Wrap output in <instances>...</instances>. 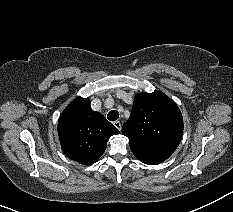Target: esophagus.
Wrapping results in <instances>:
<instances>
[{"mask_svg":"<svg viewBox=\"0 0 233 212\" xmlns=\"http://www.w3.org/2000/svg\"><path fill=\"white\" fill-rule=\"evenodd\" d=\"M113 125L120 131L121 130V123L119 121L113 122Z\"/></svg>","mask_w":233,"mask_h":212,"instance_id":"34e87169","label":"esophagus"}]
</instances>
